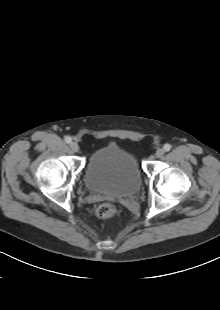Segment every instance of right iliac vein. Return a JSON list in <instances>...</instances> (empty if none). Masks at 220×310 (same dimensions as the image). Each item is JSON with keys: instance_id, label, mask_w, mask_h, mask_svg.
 Wrapping results in <instances>:
<instances>
[{"instance_id": "1", "label": "right iliac vein", "mask_w": 220, "mask_h": 310, "mask_svg": "<svg viewBox=\"0 0 220 310\" xmlns=\"http://www.w3.org/2000/svg\"><path fill=\"white\" fill-rule=\"evenodd\" d=\"M70 147L73 152H78L79 151V145L76 142H71Z\"/></svg>"}]
</instances>
